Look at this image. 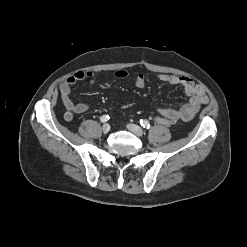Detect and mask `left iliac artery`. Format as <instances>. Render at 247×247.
I'll return each instance as SVG.
<instances>
[{"label":"left iliac artery","mask_w":247,"mask_h":247,"mask_svg":"<svg viewBox=\"0 0 247 247\" xmlns=\"http://www.w3.org/2000/svg\"><path fill=\"white\" fill-rule=\"evenodd\" d=\"M140 125L143 127V128H146V129H149L150 128V123L147 121V120H140Z\"/></svg>","instance_id":"1"}]
</instances>
